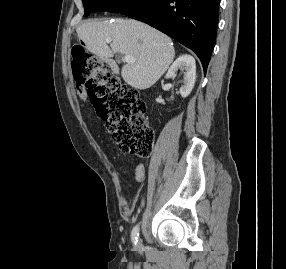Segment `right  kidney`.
I'll return each instance as SVG.
<instances>
[{
    "instance_id": "1",
    "label": "right kidney",
    "mask_w": 286,
    "mask_h": 269,
    "mask_svg": "<svg viewBox=\"0 0 286 269\" xmlns=\"http://www.w3.org/2000/svg\"><path fill=\"white\" fill-rule=\"evenodd\" d=\"M180 69L184 72L183 85L180 88V94L183 98L187 97L195 84L196 80V64L195 59L191 55H181L168 69L166 78H170L175 75L176 71Z\"/></svg>"
}]
</instances>
